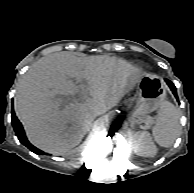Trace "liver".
Masks as SVG:
<instances>
[{
	"mask_svg": "<svg viewBox=\"0 0 194 193\" xmlns=\"http://www.w3.org/2000/svg\"><path fill=\"white\" fill-rule=\"evenodd\" d=\"M142 75L117 57H78L67 51L49 54L20 79L14 100L16 115L34 146L64 155L81 142L92 112L114 107ZM82 81H86L91 97L61 110V97L78 93Z\"/></svg>",
	"mask_w": 194,
	"mask_h": 193,
	"instance_id": "1",
	"label": "liver"
}]
</instances>
